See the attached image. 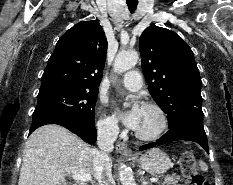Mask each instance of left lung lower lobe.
I'll list each match as a JSON object with an SVG mask.
<instances>
[{
  "label": "left lung lower lobe",
  "instance_id": "left-lung-lower-lobe-1",
  "mask_svg": "<svg viewBox=\"0 0 233 185\" xmlns=\"http://www.w3.org/2000/svg\"><path fill=\"white\" fill-rule=\"evenodd\" d=\"M176 140H189L200 144L209 153L207 137L203 127V112L189 115L180 123L172 126L157 142L141 146L140 150L151 148L155 145L164 144Z\"/></svg>",
  "mask_w": 233,
  "mask_h": 185
}]
</instances>
